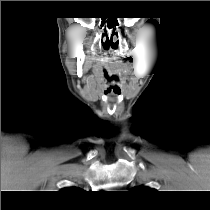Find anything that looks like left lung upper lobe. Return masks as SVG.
<instances>
[{"label":"left lung upper lobe","mask_w":210,"mask_h":210,"mask_svg":"<svg viewBox=\"0 0 210 210\" xmlns=\"http://www.w3.org/2000/svg\"><path fill=\"white\" fill-rule=\"evenodd\" d=\"M133 190L138 191V192H146V191H151L152 189H149V188L143 187V186H139V187L133 188Z\"/></svg>","instance_id":"5c2ea615"}]
</instances>
